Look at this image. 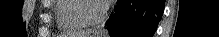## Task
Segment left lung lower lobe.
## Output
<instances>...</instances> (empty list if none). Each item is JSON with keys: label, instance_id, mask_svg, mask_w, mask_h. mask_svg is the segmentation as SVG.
Instances as JSON below:
<instances>
[{"label": "left lung lower lobe", "instance_id": "obj_1", "mask_svg": "<svg viewBox=\"0 0 219 37\" xmlns=\"http://www.w3.org/2000/svg\"><path fill=\"white\" fill-rule=\"evenodd\" d=\"M164 10V0H118L106 27L111 37H152Z\"/></svg>", "mask_w": 219, "mask_h": 37}]
</instances>
